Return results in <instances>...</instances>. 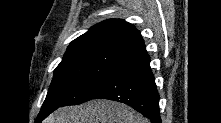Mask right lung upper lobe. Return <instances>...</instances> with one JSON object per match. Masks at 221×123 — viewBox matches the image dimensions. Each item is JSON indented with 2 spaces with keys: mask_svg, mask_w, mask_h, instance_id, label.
Returning <instances> with one entry per match:
<instances>
[{
  "mask_svg": "<svg viewBox=\"0 0 221 123\" xmlns=\"http://www.w3.org/2000/svg\"><path fill=\"white\" fill-rule=\"evenodd\" d=\"M88 49L114 51L128 57L146 52L140 32L121 19L100 22L73 40L64 56Z\"/></svg>",
  "mask_w": 221,
  "mask_h": 123,
  "instance_id": "cb5924a9",
  "label": "right lung upper lobe"
}]
</instances>
